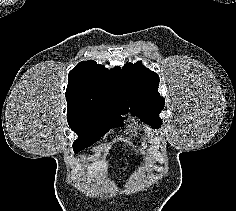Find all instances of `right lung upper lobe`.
<instances>
[{
  "instance_id": "right-lung-upper-lobe-1",
  "label": "right lung upper lobe",
  "mask_w": 236,
  "mask_h": 211,
  "mask_svg": "<svg viewBox=\"0 0 236 211\" xmlns=\"http://www.w3.org/2000/svg\"><path fill=\"white\" fill-rule=\"evenodd\" d=\"M68 111L119 113L129 111L123 71H108L95 61L80 62L69 72Z\"/></svg>"
}]
</instances>
